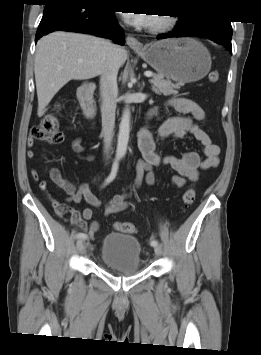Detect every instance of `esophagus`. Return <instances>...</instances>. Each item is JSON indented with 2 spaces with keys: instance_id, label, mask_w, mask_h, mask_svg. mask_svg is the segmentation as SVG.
I'll list each match as a JSON object with an SVG mask.
<instances>
[{
  "instance_id": "esophagus-1",
  "label": "esophagus",
  "mask_w": 261,
  "mask_h": 355,
  "mask_svg": "<svg viewBox=\"0 0 261 355\" xmlns=\"http://www.w3.org/2000/svg\"><path fill=\"white\" fill-rule=\"evenodd\" d=\"M126 43L133 50H141L143 48V44L140 41H138L136 38H134L130 35L127 36Z\"/></svg>"
}]
</instances>
